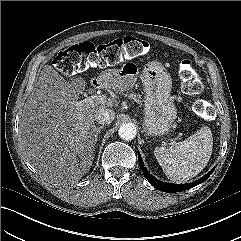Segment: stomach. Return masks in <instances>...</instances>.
Returning a JSON list of instances; mask_svg holds the SVG:
<instances>
[{"label":"stomach","mask_w":241,"mask_h":241,"mask_svg":"<svg viewBox=\"0 0 241 241\" xmlns=\"http://www.w3.org/2000/svg\"><path fill=\"white\" fill-rule=\"evenodd\" d=\"M138 69L135 64H125L121 69L105 72L102 77L108 83L126 88L135 82ZM144 86V132L150 136L169 131L177 117V109L171 100L172 80L159 63H148L142 70Z\"/></svg>","instance_id":"0dacf381"}]
</instances>
